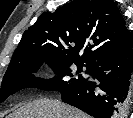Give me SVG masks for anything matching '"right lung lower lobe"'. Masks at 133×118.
<instances>
[{
  "label": "right lung lower lobe",
  "instance_id": "1",
  "mask_svg": "<svg viewBox=\"0 0 133 118\" xmlns=\"http://www.w3.org/2000/svg\"><path fill=\"white\" fill-rule=\"evenodd\" d=\"M133 73V44L98 59L90 67L95 79L61 92L62 101L95 118H125Z\"/></svg>",
  "mask_w": 133,
  "mask_h": 118
}]
</instances>
